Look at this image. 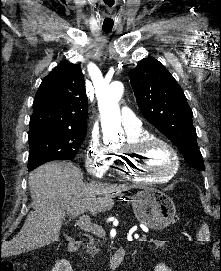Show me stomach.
I'll return each instance as SVG.
<instances>
[{"label":"stomach","instance_id":"stomach-1","mask_svg":"<svg viewBox=\"0 0 221 271\" xmlns=\"http://www.w3.org/2000/svg\"><path fill=\"white\" fill-rule=\"evenodd\" d=\"M131 203L136 219L151 229H163L175 217L176 207L171 197L162 191L140 189L133 195Z\"/></svg>","mask_w":221,"mask_h":271}]
</instances>
